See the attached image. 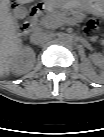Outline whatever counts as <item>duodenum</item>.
I'll use <instances>...</instances> for the list:
<instances>
[{"instance_id": "410a0bca", "label": "duodenum", "mask_w": 104, "mask_h": 137, "mask_svg": "<svg viewBox=\"0 0 104 137\" xmlns=\"http://www.w3.org/2000/svg\"><path fill=\"white\" fill-rule=\"evenodd\" d=\"M48 10H49V7L45 4H40V5H37L36 7H34L31 10L28 19L23 23V27H22L23 32L26 35L31 34L34 29V23H35L36 19L43 13L47 12Z\"/></svg>"}]
</instances>
